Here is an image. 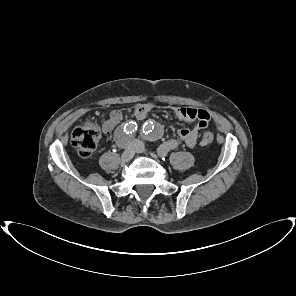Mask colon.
I'll return each instance as SVG.
<instances>
[{"mask_svg":"<svg viewBox=\"0 0 296 296\" xmlns=\"http://www.w3.org/2000/svg\"><path fill=\"white\" fill-rule=\"evenodd\" d=\"M101 127L94 121H88L82 126L75 128L71 134V145L77 150L82 158H89L96 150ZM214 141L212 133L203 134L200 145L203 147L209 146Z\"/></svg>","mask_w":296,"mask_h":296,"instance_id":"obj_1","label":"colon"}]
</instances>
